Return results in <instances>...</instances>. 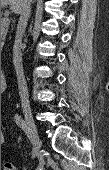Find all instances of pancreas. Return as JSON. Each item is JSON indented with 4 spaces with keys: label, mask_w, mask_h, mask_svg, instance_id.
Wrapping results in <instances>:
<instances>
[{
    "label": "pancreas",
    "mask_w": 109,
    "mask_h": 170,
    "mask_svg": "<svg viewBox=\"0 0 109 170\" xmlns=\"http://www.w3.org/2000/svg\"><path fill=\"white\" fill-rule=\"evenodd\" d=\"M3 29V28H2ZM6 33H7V29L4 28L1 32V39H2V43H4L5 37H6Z\"/></svg>",
    "instance_id": "pancreas-1"
}]
</instances>
